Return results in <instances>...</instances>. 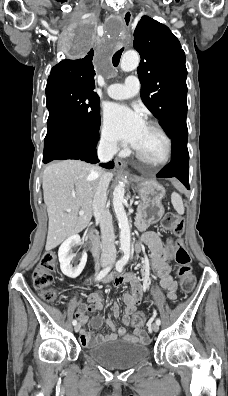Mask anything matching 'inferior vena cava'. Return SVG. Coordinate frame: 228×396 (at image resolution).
Returning a JSON list of instances; mask_svg holds the SVG:
<instances>
[{
	"label": "inferior vena cava",
	"mask_w": 228,
	"mask_h": 396,
	"mask_svg": "<svg viewBox=\"0 0 228 396\" xmlns=\"http://www.w3.org/2000/svg\"><path fill=\"white\" fill-rule=\"evenodd\" d=\"M117 152V144L115 141H101L97 154L101 162L112 160ZM111 180L110 173H103L99 178V183L93 197V214L97 222L100 223L102 255L115 256V235L112 226V217L108 209H106L107 188Z\"/></svg>",
	"instance_id": "1"
}]
</instances>
